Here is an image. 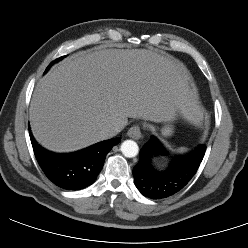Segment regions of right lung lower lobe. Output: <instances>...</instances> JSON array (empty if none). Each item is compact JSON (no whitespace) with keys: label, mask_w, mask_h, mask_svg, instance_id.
I'll return each mask as SVG.
<instances>
[{"label":"right lung lower lobe","mask_w":248,"mask_h":248,"mask_svg":"<svg viewBox=\"0 0 248 248\" xmlns=\"http://www.w3.org/2000/svg\"><path fill=\"white\" fill-rule=\"evenodd\" d=\"M35 157L48 179L60 188L80 190L91 185L100 173L106 155L120 142L113 138L83 150L57 154L41 147L29 130Z\"/></svg>","instance_id":"right-lung-lower-lobe-1"}]
</instances>
